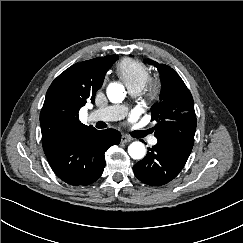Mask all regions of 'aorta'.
Segmentation results:
<instances>
[{"label": "aorta", "mask_w": 243, "mask_h": 243, "mask_svg": "<svg viewBox=\"0 0 243 243\" xmlns=\"http://www.w3.org/2000/svg\"><path fill=\"white\" fill-rule=\"evenodd\" d=\"M126 96L123 85L119 83H111L107 88V97L112 103L122 102ZM128 153L133 159H142L145 156L146 149L142 142H132L128 147Z\"/></svg>", "instance_id": "762f6f07"}]
</instances>
